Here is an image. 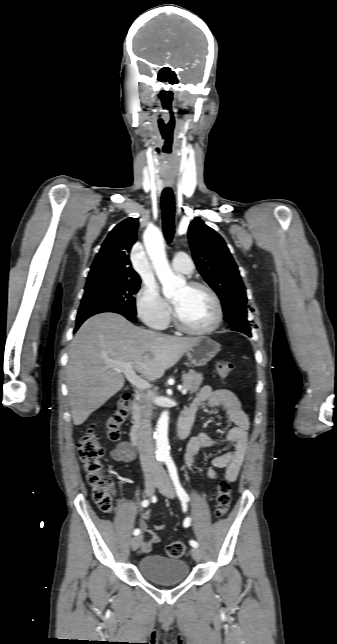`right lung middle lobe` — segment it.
Returning a JSON list of instances; mask_svg holds the SVG:
<instances>
[{
  "label": "right lung middle lobe",
  "mask_w": 337,
  "mask_h": 644,
  "mask_svg": "<svg viewBox=\"0 0 337 644\" xmlns=\"http://www.w3.org/2000/svg\"><path fill=\"white\" fill-rule=\"evenodd\" d=\"M139 288L140 280H96L87 282L76 320L111 311H123L136 315L133 295L138 292Z\"/></svg>",
  "instance_id": "dd1d6c3e"
}]
</instances>
